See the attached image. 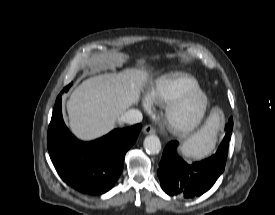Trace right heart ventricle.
Here are the masks:
<instances>
[{
  "instance_id": "e07e8e85",
  "label": "right heart ventricle",
  "mask_w": 275,
  "mask_h": 215,
  "mask_svg": "<svg viewBox=\"0 0 275 215\" xmlns=\"http://www.w3.org/2000/svg\"><path fill=\"white\" fill-rule=\"evenodd\" d=\"M198 81L184 72L161 77L150 92V100L156 104H168L183 92L198 88Z\"/></svg>"
}]
</instances>
